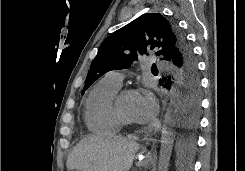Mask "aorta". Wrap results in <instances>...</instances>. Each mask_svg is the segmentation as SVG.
<instances>
[{
  "mask_svg": "<svg viewBox=\"0 0 245 171\" xmlns=\"http://www.w3.org/2000/svg\"><path fill=\"white\" fill-rule=\"evenodd\" d=\"M179 96L178 91L173 89L170 95V105L167 108L164 124L161 130V147L158 160V171H168L170 157L175 140L174 127L178 122Z\"/></svg>",
  "mask_w": 245,
  "mask_h": 171,
  "instance_id": "aorta-1",
  "label": "aorta"
}]
</instances>
